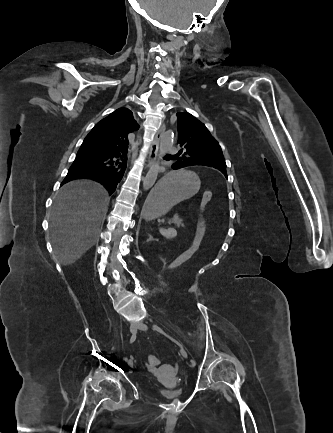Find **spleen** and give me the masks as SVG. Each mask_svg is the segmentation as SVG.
Instances as JSON below:
<instances>
[{"label": "spleen", "mask_w": 333, "mask_h": 433, "mask_svg": "<svg viewBox=\"0 0 333 433\" xmlns=\"http://www.w3.org/2000/svg\"><path fill=\"white\" fill-rule=\"evenodd\" d=\"M169 176H173V175H169ZM199 188L200 187H198V190H199ZM159 231L166 238H172V237L176 236V233L174 231H172L171 229H163V228H161Z\"/></svg>", "instance_id": "spleen-1"}]
</instances>
